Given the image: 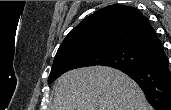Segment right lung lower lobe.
<instances>
[{
  "label": "right lung lower lobe",
  "instance_id": "right-lung-lower-lobe-1",
  "mask_svg": "<svg viewBox=\"0 0 171 110\" xmlns=\"http://www.w3.org/2000/svg\"><path fill=\"white\" fill-rule=\"evenodd\" d=\"M119 70L141 87L155 110H171V71L163 47L153 54V60L148 64Z\"/></svg>",
  "mask_w": 171,
  "mask_h": 110
}]
</instances>
